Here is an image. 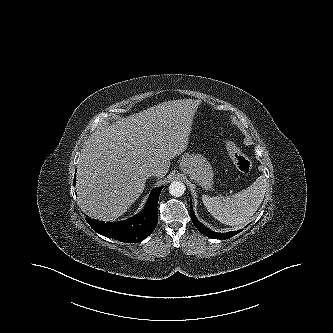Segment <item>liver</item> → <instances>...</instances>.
Segmentation results:
<instances>
[{
    "label": "liver",
    "instance_id": "liver-1",
    "mask_svg": "<svg viewBox=\"0 0 333 333\" xmlns=\"http://www.w3.org/2000/svg\"><path fill=\"white\" fill-rule=\"evenodd\" d=\"M199 101L160 103L95 132L78 163L77 198L90 217L114 221L139 198L148 172L164 177L188 146Z\"/></svg>",
    "mask_w": 333,
    "mask_h": 333
}]
</instances>
